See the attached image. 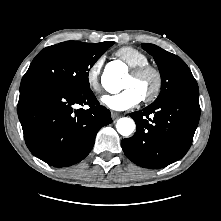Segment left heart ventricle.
I'll return each instance as SVG.
<instances>
[{
	"label": "left heart ventricle",
	"mask_w": 221,
	"mask_h": 221,
	"mask_svg": "<svg viewBox=\"0 0 221 221\" xmlns=\"http://www.w3.org/2000/svg\"><path fill=\"white\" fill-rule=\"evenodd\" d=\"M154 85V78L151 74H146L142 77H134L130 73L124 78L122 87H134L143 97L149 93Z\"/></svg>",
	"instance_id": "left-heart-ventricle-1"
}]
</instances>
